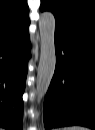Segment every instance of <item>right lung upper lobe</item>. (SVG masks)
<instances>
[{
    "mask_svg": "<svg viewBox=\"0 0 95 130\" xmlns=\"http://www.w3.org/2000/svg\"><path fill=\"white\" fill-rule=\"evenodd\" d=\"M29 24L26 0H0V42L23 34Z\"/></svg>",
    "mask_w": 95,
    "mask_h": 130,
    "instance_id": "cb5924a9",
    "label": "right lung upper lobe"
}]
</instances>
